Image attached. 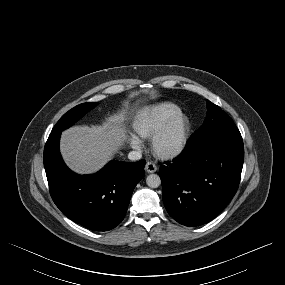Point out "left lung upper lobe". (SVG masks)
I'll list each match as a JSON object with an SVG mask.
<instances>
[{"label":"left lung upper lobe","instance_id":"1","mask_svg":"<svg viewBox=\"0 0 285 285\" xmlns=\"http://www.w3.org/2000/svg\"><path fill=\"white\" fill-rule=\"evenodd\" d=\"M207 116L203 125L193 134L188 145L205 144L226 139L242 138L233 120L217 105L206 103Z\"/></svg>","mask_w":285,"mask_h":285}]
</instances>
